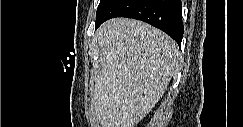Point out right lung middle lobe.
I'll return each instance as SVG.
<instances>
[{"instance_id": "dd1d6c3e", "label": "right lung middle lobe", "mask_w": 243, "mask_h": 127, "mask_svg": "<svg viewBox=\"0 0 243 127\" xmlns=\"http://www.w3.org/2000/svg\"><path fill=\"white\" fill-rule=\"evenodd\" d=\"M109 2V0H100L96 14L102 10V8Z\"/></svg>"}]
</instances>
